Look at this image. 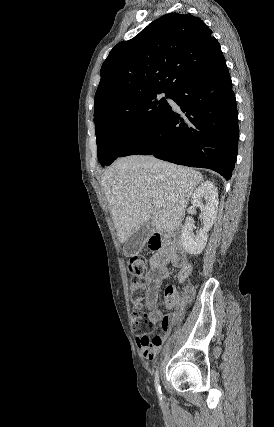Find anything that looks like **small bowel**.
Masks as SVG:
<instances>
[{
    "mask_svg": "<svg viewBox=\"0 0 274 427\" xmlns=\"http://www.w3.org/2000/svg\"><path fill=\"white\" fill-rule=\"evenodd\" d=\"M170 265L177 270V278L181 283L193 270V263L188 259L184 246H179L176 241L156 248L150 257V270L144 274V303L148 310V317L153 323L159 322L161 326V333L152 338L148 335L138 337L142 356L146 360H153L157 356L174 326V316L162 315L156 306L161 283L170 275ZM173 295L166 294L165 305L169 309L174 306Z\"/></svg>",
    "mask_w": 274,
    "mask_h": 427,
    "instance_id": "c3829d8e",
    "label": "small bowel"
}]
</instances>
